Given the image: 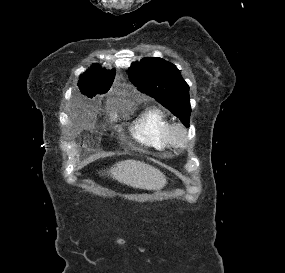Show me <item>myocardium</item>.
<instances>
[{
  "label": "myocardium",
  "instance_id": "obj_1",
  "mask_svg": "<svg viewBox=\"0 0 285 273\" xmlns=\"http://www.w3.org/2000/svg\"><path fill=\"white\" fill-rule=\"evenodd\" d=\"M169 138L172 145L176 148H185L190 143L188 129L182 124H174L169 132Z\"/></svg>",
  "mask_w": 285,
  "mask_h": 273
}]
</instances>
